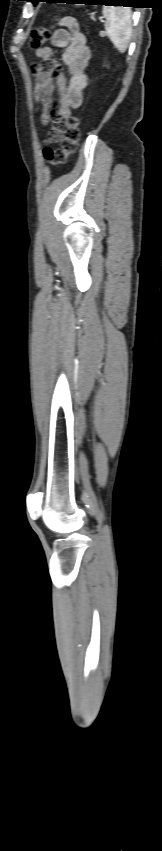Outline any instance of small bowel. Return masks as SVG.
Segmentation results:
<instances>
[{
    "label": "small bowel",
    "instance_id": "obj_1",
    "mask_svg": "<svg viewBox=\"0 0 162 851\" xmlns=\"http://www.w3.org/2000/svg\"><path fill=\"white\" fill-rule=\"evenodd\" d=\"M51 37V45L36 50V56L44 60L40 65L31 68L35 76V99L42 105L41 121L44 125L53 121L58 123L70 116L83 102L82 91L86 87L85 68L90 60V50L84 34L80 31L78 22L73 17H64L59 22ZM64 48L62 61L68 69V77L59 71L54 52ZM58 91L57 104H54L53 93ZM55 128V127H54ZM50 131L46 142H58V137Z\"/></svg>",
    "mask_w": 162,
    "mask_h": 851
}]
</instances>
